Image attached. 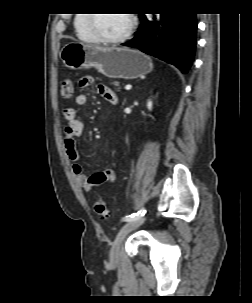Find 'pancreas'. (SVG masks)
<instances>
[{"instance_id":"obj_1","label":"pancreas","mask_w":252,"mask_h":303,"mask_svg":"<svg viewBox=\"0 0 252 303\" xmlns=\"http://www.w3.org/2000/svg\"><path fill=\"white\" fill-rule=\"evenodd\" d=\"M113 85L116 87H119V82L115 81V82H113Z\"/></svg>"}]
</instances>
